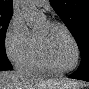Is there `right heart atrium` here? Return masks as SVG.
Masks as SVG:
<instances>
[{"label":"right heart atrium","mask_w":89,"mask_h":89,"mask_svg":"<svg viewBox=\"0 0 89 89\" xmlns=\"http://www.w3.org/2000/svg\"><path fill=\"white\" fill-rule=\"evenodd\" d=\"M8 58L19 64L30 52L33 45V32L26 26L23 18L14 14L7 27L4 39Z\"/></svg>","instance_id":"1"}]
</instances>
